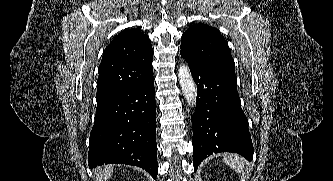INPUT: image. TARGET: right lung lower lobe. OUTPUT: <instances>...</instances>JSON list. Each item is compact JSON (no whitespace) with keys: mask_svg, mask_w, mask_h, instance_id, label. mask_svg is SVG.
<instances>
[{"mask_svg":"<svg viewBox=\"0 0 333 181\" xmlns=\"http://www.w3.org/2000/svg\"><path fill=\"white\" fill-rule=\"evenodd\" d=\"M89 167L116 163L158 174L156 104L153 77L97 103Z\"/></svg>","mask_w":333,"mask_h":181,"instance_id":"1","label":"right lung lower lobe"}]
</instances>
